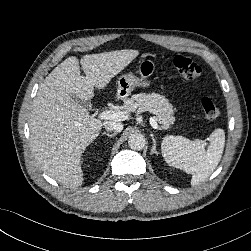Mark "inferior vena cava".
I'll return each mask as SVG.
<instances>
[{
  "label": "inferior vena cava",
  "mask_w": 251,
  "mask_h": 251,
  "mask_svg": "<svg viewBox=\"0 0 251 251\" xmlns=\"http://www.w3.org/2000/svg\"><path fill=\"white\" fill-rule=\"evenodd\" d=\"M103 125L107 131H113L115 133L121 132L124 127L122 123L114 121H106Z\"/></svg>",
  "instance_id": "inferior-vena-cava-1"
}]
</instances>
